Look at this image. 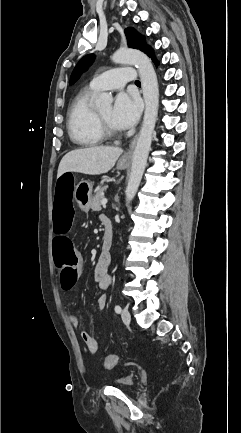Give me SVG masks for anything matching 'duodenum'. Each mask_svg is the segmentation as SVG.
<instances>
[{
	"label": "duodenum",
	"instance_id": "duodenum-1",
	"mask_svg": "<svg viewBox=\"0 0 241 433\" xmlns=\"http://www.w3.org/2000/svg\"><path fill=\"white\" fill-rule=\"evenodd\" d=\"M103 225L105 227V233L102 243V255L108 256L109 250L113 243L114 230L112 221L108 217L102 219Z\"/></svg>",
	"mask_w": 241,
	"mask_h": 433
}]
</instances>
